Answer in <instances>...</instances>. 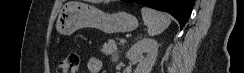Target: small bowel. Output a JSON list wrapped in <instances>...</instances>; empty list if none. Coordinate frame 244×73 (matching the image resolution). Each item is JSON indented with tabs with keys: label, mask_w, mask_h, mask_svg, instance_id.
<instances>
[{
	"label": "small bowel",
	"mask_w": 244,
	"mask_h": 73,
	"mask_svg": "<svg viewBox=\"0 0 244 73\" xmlns=\"http://www.w3.org/2000/svg\"><path fill=\"white\" fill-rule=\"evenodd\" d=\"M87 69L89 73H100L102 69V62L100 59L92 57L87 62Z\"/></svg>",
	"instance_id": "obj_1"
}]
</instances>
